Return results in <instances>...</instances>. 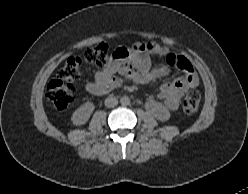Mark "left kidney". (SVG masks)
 Returning a JSON list of instances; mask_svg holds the SVG:
<instances>
[{
	"mask_svg": "<svg viewBox=\"0 0 248 194\" xmlns=\"http://www.w3.org/2000/svg\"><path fill=\"white\" fill-rule=\"evenodd\" d=\"M158 106H159L161 112H155L154 116L161 121L167 120L169 118L168 110L164 106H162L161 104H158Z\"/></svg>",
	"mask_w": 248,
	"mask_h": 194,
	"instance_id": "left-kidney-1",
	"label": "left kidney"
}]
</instances>
